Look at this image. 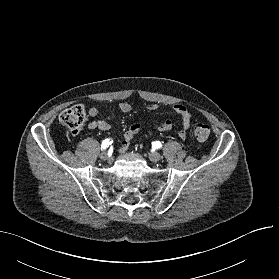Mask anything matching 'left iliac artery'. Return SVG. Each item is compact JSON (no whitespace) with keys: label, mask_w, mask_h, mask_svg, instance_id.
I'll list each match as a JSON object with an SVG mask.
<instances>
[{"label":"left iliac artery","mask_w":279,"mask_h":279,"mask_svg":"<svg viewBox=\"0 0 279 279\" xmlns=\"http://www.w3.org/2000/svg\"><path fill=\"white\" fill-rule=\"evenodd\" d=\"M152 146H153L154 148H161V147H162V144H161V142L156 141V142H153V143H152Z\"/></svg>","instance_id":"obj_1"}]
</instances>
